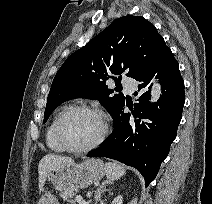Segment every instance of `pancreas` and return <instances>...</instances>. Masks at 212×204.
<instances>
[{
  "instance_id": "pancreas-1",
  "label": "pancreas",
  "mask_w": 212,
  "mask_h": 204,
  "mask_svg": "<svg viewBox=\"0 0 212 204\" xmlns=\"http://www.w3.org/2000/svg\"><path fill=\"white\" fill-rule=\"evenodd\" d=\"M75 191L76 190H74L72 188H67L60 193V196L62 197V199L64 201H67L71 204H75V202H76L75 199H74V197L76 195Z\"/></svg>"
}]
</instances>
